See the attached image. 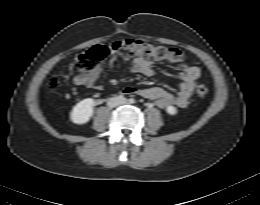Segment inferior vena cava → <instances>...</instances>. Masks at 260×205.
I'll use <instances>...</instances> for the list:
<instances>
[{
  "instance_id": "602c4592",
  "label": "inferior vena cava",
  "mask_w": 260,
  "mask_h": 205,
  "mask_svg": "<svg viewBox=\"0 0 260 205\" xmlns=\"http://www.w3.org/2000/svg\"><path fill=\"white\" fill-rule=\"evenodd\" d=\"M119 103H117V104H112V103H109V106H116V105H118Z\"/></svg>"
}]
</instances>
